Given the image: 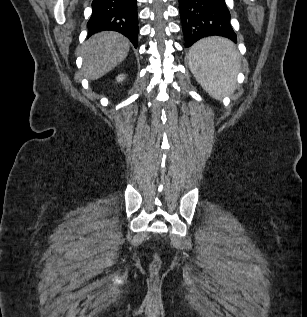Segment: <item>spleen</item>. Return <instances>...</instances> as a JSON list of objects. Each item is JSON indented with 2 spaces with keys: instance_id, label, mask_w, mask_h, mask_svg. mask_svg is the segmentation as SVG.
Returning <instances> with one entry per match:
<instances>
[{
  "instance_id": "1",
  "label": "spleen",
  "mask_w": 307,
  "mask_h": 317,
  "mask_svg": "<svg viewBox=\"0 0 307 317\" xmlns=\"http://www.w3.org/2000/svg\"><path fill=\"white\" fill-rule=\"evenodd\" d=\"M238 53L227 39L209 37L189 51V65L196 80L214 98L221 99L235 90Z\"/></svg>"
}]
</instances>
